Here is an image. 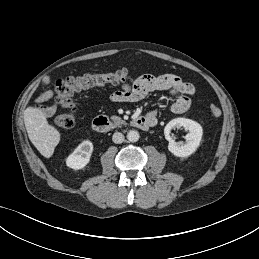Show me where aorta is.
<instances>
[{"instance_id":"obj_1","label":"aorta","mask_w":259,"mask_h":259,"mask_svg":"<svg viewBox=\"0 0 259 259\" xmlns=\"http://www.w3.org/2000/svg\"><path fill=\"white\" fill-rule=\"evenodd\" d=\"M139 133L136 131V130H130L128 133H127V139L130 141V142H137L139 140Z\"/></svg>"}]
</instances>
